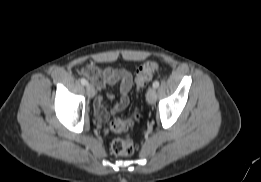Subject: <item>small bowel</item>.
I'll return each mask as SVG.
<instances>
[{
  "label": "small bowel",
  "mask_w": 261,
  "mask_h": 182,
  "mask_svg": "<svg viewBox=\"0 0 261 182\" xmlns=\"http://www.w3.org/2000/svg\"><path fill=\"white\" fill-rule=\"evenodd\" d=\"M86 75L94 84L96 89L103 90L108 85L119 83V100L116 104L107 108L103 98L97 97L94 101V109L96 116L100 120H107L111 115L122 112L129 104V92L132 88L131 74L122 68L114 67H99L93 64L86 65L83 70ZM112 99L111 94L107 95Z\"/></svg>",
  "instance_id": "obj_1"
}]
</instances>
